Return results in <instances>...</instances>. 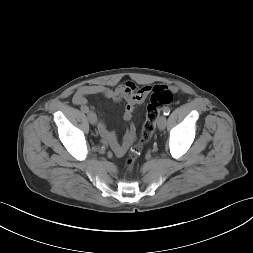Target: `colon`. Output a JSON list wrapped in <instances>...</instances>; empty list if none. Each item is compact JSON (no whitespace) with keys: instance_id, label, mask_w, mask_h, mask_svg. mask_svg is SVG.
Listing matches in <instances>:
<instances>
[{"instance_id":"5ec220e1","label":"colon","mask_w":253,"mask_h":253,"mask_svg":"<svg viewBox=\"0 0 253 253\" xmlns=\"http://www.w3.org/2000/svg\"><path fill=\"white\" fill-rule=\"evenodd\" d=\"M172 100V89L166 86L154 87L150 102L147 106L146 119L141 130L140 140L130 149L126 158V166L128 170H132L143 146L151 139L161 110L168 106Z\"/></svg>"}]
</instances>
